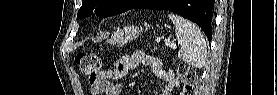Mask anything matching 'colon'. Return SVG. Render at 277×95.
Returning a JSON list of instances; mask_svg holds the SVG:
<instances>
[{"mask_svg":"<svg viewBox=\"0 0 277 95\" xmlns=\"http://www.w3.org/2000/svg\"><path fill=\"white\" fill-rule=\"evenodd\" d=\"M75 61L81 74L90 81L95 78L101 66L99 56L94 53H80L75 57ZM178 73L184 84V92L181 94H188L197 82L196 75L192 69L184 65L178 67Z\"/></svg>","mask_w":277,"mask_h":95,"instance_id":"obj_1","label":"colon"}]
</instances>
